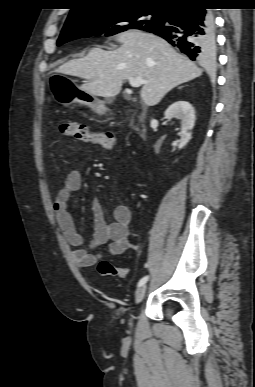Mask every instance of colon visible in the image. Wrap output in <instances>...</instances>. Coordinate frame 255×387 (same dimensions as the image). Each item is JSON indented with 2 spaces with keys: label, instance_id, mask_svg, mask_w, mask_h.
<instances>
[{
  "label": "colon",
  "instance_id": "5ec220e1",
  "mask_svg": "<svg viewBox=\"0 0 255 387\" xmlns=\"http://www.w3.org/2000/svg\"><path fill=\"white\" fill-rule=\"evenodd\" d=\"M60 133L68 138H74L86 144L99 146L105 149H113L117 145L116 137L110 133H93L87 126L77 122H65L59 126ZM98 272L102 276H117L126 278L129 274L127 268L117 267L110 261L101 260L97 265Z\"/></svg>",
  "mask_w": 255,
  "mask_h": 387
}]
</instances>
